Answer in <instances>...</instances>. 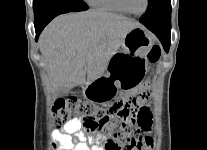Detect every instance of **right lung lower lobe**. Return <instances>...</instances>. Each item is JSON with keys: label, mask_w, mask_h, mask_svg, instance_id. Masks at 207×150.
Here are the masks:
<instances>
[{"label": "right lung lower lobe", "mask_w": 207, "mask_h": 150, "mask_svg": "<svg viewBox=\"0 0 207 150\" xmlns=\"http://www.w3.org/2000/svg\"><path fill=\"white\" fill-rule=\"evenodd\" d=\"M63 13H67L64 10L61 11H52L49 12L45 15H42L38 18H35L34 20V26H35V31H36V40L39 36V34L41 33V31L43 30V28L57 15L59 14H63Z\"/></svg>", "instance_id": "1"}]
</instances>
